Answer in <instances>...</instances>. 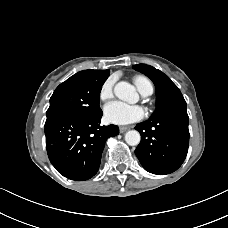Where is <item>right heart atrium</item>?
I'll list each match as a JSON object with an SVG mask.
<instances>
[{
    "label": "right heart atrium",
    "mask_w": 228,
    "mask_h": 228,
    "mask_svg": "<svg viewBox=\"0 0 228 228\" xmlns=\"http://www.w3.org/2000/svg\"><path fill=\"white\" fill-rule=\"evenodd\" d=\"M115 79L113 77H109L101 86L99 91V98L101 101H107L113 96V87H114Z\"/></svg>",
    "instance_id": "obj_1"
}]
</instances>
